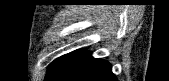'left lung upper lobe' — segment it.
<instances>
[{
	"mask_svg": "<svg viewBox=\"0 0 169 81\" xmlns=\"http://www.w3.org/2000/svg\"><path fill=\"white\" fill-rule=\"evenodd\" d=\"M58 59H59V58H58ZM58 59L54 60V61L49 65L48 70H50V69L54 66V64L57 62Z\"/></svg>",
	"mask_w": 169,
	"mask_h": 81,
	"instance_id": "1",
	"label": "left lung upper lobe"
}]
</instances>
